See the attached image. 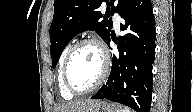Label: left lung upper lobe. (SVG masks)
Wrapping results in <instances>:
<instances>
[{
    "label": "left lung upper lobe",
    "instance_id": "left-lung-upper-lobe-1",
    "mask_svg": "<svg viewBox=\"0 0 193 112\" xmlns=\"http://www.w3.org/2000/svg\"><path fill=\"white\" fill-rule=\"evenodd\" d=\"M132 0H55L54 16L50 26V54L55 68L60 55L69 41L78 33L94 30L105 42L112 28L110 15H119ZM102 3L107 4L105 15L97 11ZM104 18V19H102Z\"/></svg>",
    "mask_w": 193,
    "mask_h": 112
}]
</instances>
